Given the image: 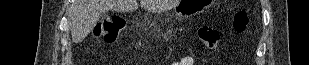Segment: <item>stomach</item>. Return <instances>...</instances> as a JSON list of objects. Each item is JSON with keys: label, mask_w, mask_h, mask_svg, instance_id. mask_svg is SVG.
<instances>
[{"label": "stomach", "mask_w": 309, "mask_h": 65, "mask_svg": "<svg viewBox=\"0 0 309 65\" xmlns=\"http://www.w3.org/2000/svg\"><path fill=\"white\" fill-rule=\"evenodd\" d=\"M211 0H182L177 3L174 12L181 18H189L203 12L211 6Z\"/></svg>", "instance_id": "stomach-1"}]
</instances>
